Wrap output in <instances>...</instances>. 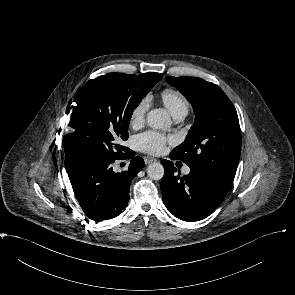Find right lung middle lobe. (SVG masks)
<instances>
[{"instance_id":"obj_1","label":"right lung middle lobe","mask_w":295,"mask_h":295,"mask_svg":"<svg viewBox=\"0 0 295 295\" xmlns=\"http://www.w3.org/2000/svg\"><path fill=\"white\" fill-rule=\"evenodd\" d=\"M158 80L153 73H109L89 80L72 106V132L63 138L65 167L87 157L125 155L128 148L121 144L128 139L133 111Z\"/></svg>"}]
</instances>
